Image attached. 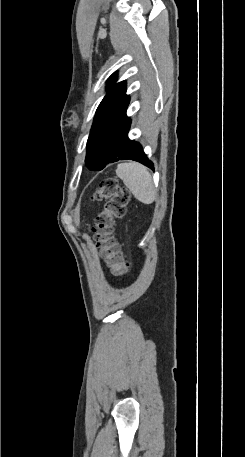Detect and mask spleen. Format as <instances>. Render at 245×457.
<instances>
[{"label":"spleen","instance_id":"3e777b00","mask_svg":"<svg viewBox=\"0 0 245 457\" xmlns=\"http://www.w3.org/2000/svg\"><path fill=\"white\" fill-rule=\"evenodd\" d=\"M116 174L130 188L135 198L144 204L153 202L156 188L147 166L140 162H120L116 168Z\"/></svg>","mask_w":245,"mask_h":457}]
</instances>
